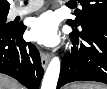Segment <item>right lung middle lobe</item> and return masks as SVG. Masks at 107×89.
Listing matches in <instances>:
<instances>
[{"label": "right lung middle lobe", "mask_w": 107, "mask_h": 89, "mask_svg": "<svg viewBox=\"0 0 107 89\" xmlns=\"http://www.w3.org/2000/svg\"><path fill=\"white\" fill-rule=\"evenodd\" d=\"M7 14H8V12L0 13V27H3L5 29H11L16 25H13L12 23H7L6 22Z\"/></svg>", "instance_id": "1"}]
</instances>
